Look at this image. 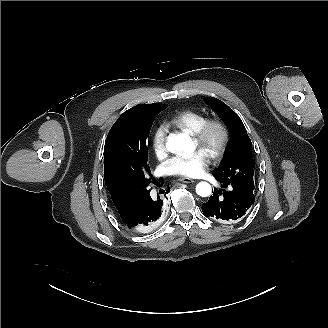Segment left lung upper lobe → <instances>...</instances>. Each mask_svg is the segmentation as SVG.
Segmentation results:
<instances>
[{"instance_id": "1", "label": "left lung upper lobe", "mask_w": 328, "mask_h": 328, "mask_svg": "<svg viewBox=\"0 0 328 328\" xmlns=\"http://www.w3.org/2000/svg\"><path fill=\"white\" fill-rule=\"evenodd\" d=\"M204 101L224 120L231 132L223 159L213 171L215 178L225 184H237L254 190L255 161L252 157V143L240 117L225 103L207 97Z\"/></svg>"}]
</instances>
